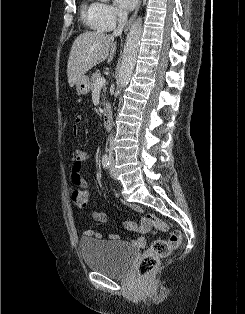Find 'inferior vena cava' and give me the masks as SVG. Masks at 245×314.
Masks as SVG:
<instances>
[{"instance_id":"602c4592","label":"inferior vena cava","mask_w":245,"mask_h":314,"mask_svg":"<svg viewBox=\"0 0 245 314\" xmlns=\"http://www.w3.org/2000/svg\"><path fill=\"white\" fill-rule=\"evenodd\" d=\"M128 19V14L125 11H119L118 12V27L114 30L113 36H119L122 34L124 25L126 24ZM113 138L111 136L110 138V148L108 150L109 152V160L110 162H114V157H113Z\"/></svg>"}]
</instances>
